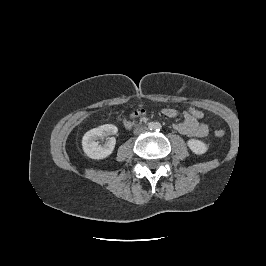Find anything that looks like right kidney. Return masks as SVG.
I'll return each instance as SVG.
<instances>
[{
  "instance_id": "right-kidney-1",
  "label": "right kidney",
  "mask_w": 266,
  "mask_h": 266,
  "mask_svg": "<svg viewBox=\"0 0 266 266\" xmlns=\"http://www.w3.org/2000/svg\"><path fill=\"white\" fill-rule=\"evenodd\" d=\"M117 132V127L112 124H105L86 132L82 139L85 154L89 158L97 160L108 157L116 144V139L108 136L115 135ZM100 137H108L104 145H100L97 141Z\"/></svg>"
}]
</instances>
